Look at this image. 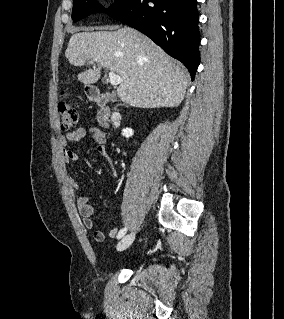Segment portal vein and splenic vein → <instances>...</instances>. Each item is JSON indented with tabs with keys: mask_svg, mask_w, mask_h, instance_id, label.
Segmentation results:
<instances>
[{
	"mask_svg": "<svg viewBox=\"0 0 284 319\" xmlns=\"http://www.w3.org/2000/svg\"><path fill=\"white\" fill-rule=\"evenodd\" d=\"M93 61H97V59L94 58ZM109 80L110 84L113 86H117L122 82V78L119 75L115 74L113 71L109 73Z\"/></svg>",
	"mask_w": 284,
	"mask_h": 319,
	"instance_id": "obj_1",
	"label": "portal vein and splenic vein"
}]
</instances>
